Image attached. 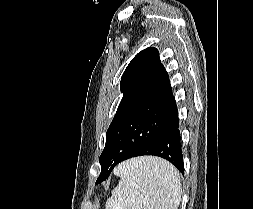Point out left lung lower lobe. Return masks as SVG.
<instances>
[{
  "label": "left lung lower lobe",
  "instance_id": "1",
  "mask_svg": "<svg viewBox=\"0 0 253 209\" xmlns=\"http://www.w3.org/2000/svg\"><path fill=\"white\" fill-rule=\"evenodd\" d=\"M142 155H154L162 157L171 162L182 174H184L181 136L179 131V119L177 111L164 126V128L159 131L151 140H149L143 148H141L133 156L127 157L123 160ZM113 169L114 167H111L106 172L101 173L96 183L106 180Z\"/></svg>",
  "mask_w": 253,
  "mask_h": 209
}]
</instances>
